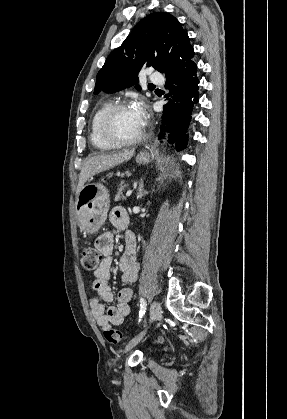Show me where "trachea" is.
<instances>
[{
    "label": "trachea",
    "instance_id": "3493384b",
    "mask_svg": "<svg viewBox=\"0 0 287 419\" xmlns=\"http://www.w3.org/2000/svg\"><path fill=\"white\" fill-rule=\"evenodd\" d=\"M149 86H154L153 84H150Z\"/></svg>",
    "mask_w": 287,
    "mask_h": 419
}]
</instances>
